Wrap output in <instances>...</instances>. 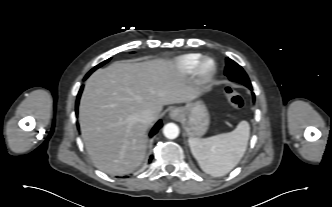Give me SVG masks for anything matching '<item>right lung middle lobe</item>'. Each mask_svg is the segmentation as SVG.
<instances>
[{
    "label": "right lung middle lobe",
    "mask_w": 332,
    "mask_h": 207,
    "mask_svg": "<svg viewBox=\"0 0 332 207\" xmlns=\"http://www.w3.org/2000/svg\"><path fill=\"white\" fill-rule=\"evenodd\" d=\"M110 59H107L106 61L100 63L99 65L95 66L91 71L88 72V74L86 75V77H88L93 71H95L96 69H98L99 67L103 66L105 63H107Z\"/></svg>",
    "instance_id": "right-lung-middle-lobe-1"
}]
</instances>
